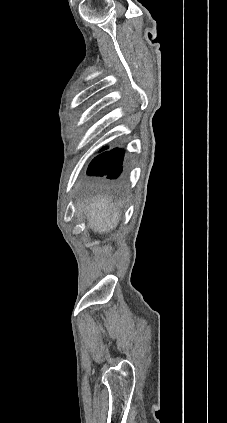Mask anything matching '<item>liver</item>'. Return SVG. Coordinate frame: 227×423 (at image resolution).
<instances>
[{"label": "liver", "mask_w": 227, "mask_h": 423, "mask_svg": "<svg viewBox=\"0 0 227 423\" xmlns=\"http://www.w3.org/2000/svg\"><path fill=\"white\" fill-rule=\"evenodd\" d=\"M108 196L104 198H94V200H86L80 202V211L78 213H84L88 227L96 231V233H109L112 229L117 227L120 221V211L118 208L111 210L109 206Z\"/></svg>", "instance_id": "obj_1"}]
</instances>
